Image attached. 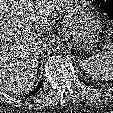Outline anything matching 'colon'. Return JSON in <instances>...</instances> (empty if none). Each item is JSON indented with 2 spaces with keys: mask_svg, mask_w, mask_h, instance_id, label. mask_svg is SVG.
<instances>
[{
  "mask_svg": "<svg viewBox=\"0 0 113 113\" xmlns=\"http://www.w3.org/2000/svg\"><path fill=\"white\" fill-rule=\"evenodd\" d=\"M99 11L108 19L113 20V0H92Z\"/></svg>",
  "mask_w": 113,
  "mask_h": 113,
  "instance_id": "colon-1",
  "label": "colon"
}]
</instances>
